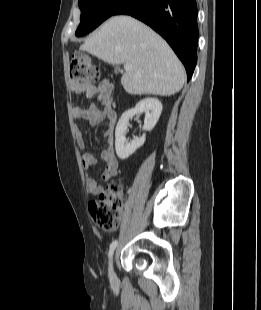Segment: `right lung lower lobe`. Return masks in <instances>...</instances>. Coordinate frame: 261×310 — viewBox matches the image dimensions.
<instances>
[{
  "instance_id": "right-lung-lower-lobe-1",
  "label": "right lung lower lobe",
  "mask_w": 261,
  "mask_h": 310,
  "mask_svg": "<svg viewBox=\"0 0 261 310\" xmlns=\"http://www.w3.org/2000/svg\"><path fill=\"white\" fill-rule=\"evenodd\" d=\"M131 15L158 32L185 66L189 81L197 62L196 0H127L113 15Z\"/></svg>"
}]
</instances>
